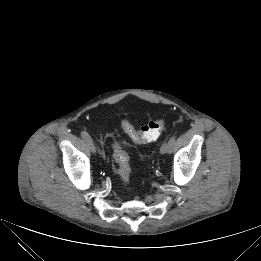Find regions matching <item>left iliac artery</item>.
I'll return each mask as SVG.
<instances>
[{
  "instance_id": "1",
  "label": "left iliac artery",
  "mask_w": 261,
  "mask_h": 261,
  "mask_svg": "<svg viewBox=\"0 0 261 261\" xmlns=\"http://www.w3.org/2000/svg\"><path fill=\"white\" fill-rule=\"evenodd\" d=\"M176 143V136L173 135L172 137H170V139L168 140V144H169V151H171Z\"/></svg>"
}]
</instances>
